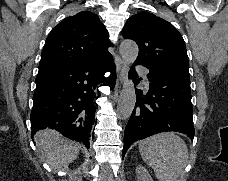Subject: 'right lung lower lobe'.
I'll list each match as a JSON object with an SVG mask.
<instances>
[{"label": "right lung lower lobe", "instance_id": "right-lung-lower-lobe-1", "mask_svg": "<svg viewBox=\"0 0 228 181\" xmlns=\"http://www.w3.org/2000/svg\"><path fill=\"white\" fill-rule=\"evenodd\" d=\"M106 72L111 73L108 79ZM115 81L111 55L38 73L30 117L32 135L49 127L89 148L98 86L108 82L113 88Z\"/></svg>", "mask_w": 228, "mask_h": 181}]
</instances>
